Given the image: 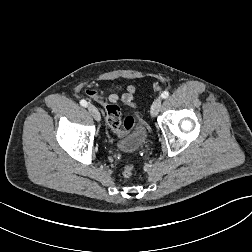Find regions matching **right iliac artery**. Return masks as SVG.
I'll return each instance as SVG.
<instances>
[{
	"mask_svg": "<svg viewBox=\"0 0 252 252\" xmlns=\"http://www.w3.org/2000/svg\"><path fill=\"white\" fill-rule=\"evenodd\" d=\"M80 105L83 106V107H86L88 104H87V102L85 100H81Z\"/></svg>",
	"mask_w": 252,
	"mask_h": 252,
	"instance_id": "right-iliac-artery-1",
	"label": "right iliac artery"
}]
</instances>
